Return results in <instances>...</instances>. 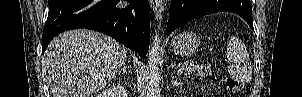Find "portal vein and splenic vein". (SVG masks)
I'll return each instance as SVG.
<instances>
[{
  "label": "portal vein and splenic vein",
  "mask_w": 302,
  "mask_h": 97,
  "mask_svg": "<svg viewBox=\"0 0 302 97\" xmlns=\"http://www.w3.org/2000/svg\"><path fill=\"white\" fill-rule=\"evenodd\" d=\"M184 70V67H181L179 70H178V73L181 74Z\"/></svg>",
  "instance_id": "portal-vein-and-splenic-vein-1"
}]
</instances>
